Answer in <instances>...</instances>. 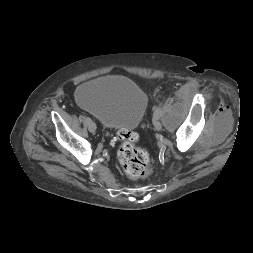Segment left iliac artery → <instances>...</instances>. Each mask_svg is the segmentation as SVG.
<instances>
[{"label":"left iliac artery","mask_w":253,"mask_h":253,"mask_svg":"<svg viewBox=\"0 0 253 253\" xmlns=\"http://www.w3.org/2000/svg\"><path fill=\"white\" fill-rule=\"evenodd\" d=\"M153 111H154V113H153L154 117L153 118L155 119L157 117V119H159L162 115L160 106L154 107Z\"/></svg>","instance_id":"1"}]
</instances>
